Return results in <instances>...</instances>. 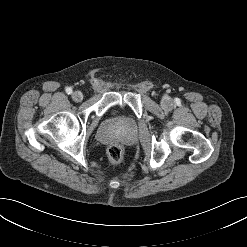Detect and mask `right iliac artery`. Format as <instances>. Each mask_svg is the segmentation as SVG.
Listing matches in <instances>:
<instances>
[{
	"label": "right iliac artery",
	"instance_id": "right-iliac-artery-1",
	"mask_svg": "<svg viewBox=\"0 0 247 247\" xmlns=\"http://www.w3.org/2000/svg\"><path fill=\"white\" fill-rule=\"evenodd\" d=\"M66 93H67V94H71V93H72V89H71L70 87H68V88L66 89Z\"/></svg>",
	"mask_w": 247,
	"mask_h": 247
}]
</instances>
